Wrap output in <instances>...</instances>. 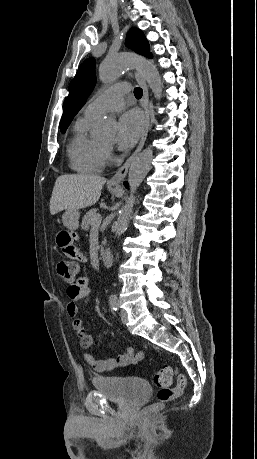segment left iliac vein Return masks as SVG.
Returning <instances> with one entry per match:
<instances>
[{"instance_id": "obj_1", "label": "left iliac vein", "mask_w": 257, "mask_h": 459, "mask_svg": "<svg viewBox=\"0 0 257 459\" xmlns=\"http://www.w3.org/2000/svg\"><path fill=\"white\" fill-rule=\"evenodd\" d=\"M120 314H121L122 323L124 324L127 323L128 321L127 312L125 310H121Z\"/></svg>"}]
</instances>
